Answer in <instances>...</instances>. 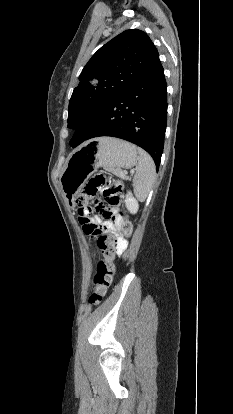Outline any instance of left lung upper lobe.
<instances>
[{
    "label": "left lung upper lobe",
    "instance_id": "1",
    "mask_svg": "<svg viewBox=\"0 0 233 414\" xmlns=\"http://www.w3.org/2000/svg\"><path fill=\"white\" fill-rule=\"evenodd\" d=\"M158 56L148 35L138 29L126 30L102 46L83 68L73 91L68 128L76 130L92 119L140 78Z\"/></svg>",
    "mask_w": 233,
    "mask_h": 414
}]
</instances>
